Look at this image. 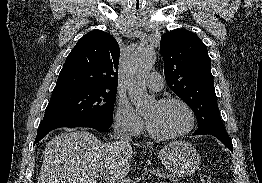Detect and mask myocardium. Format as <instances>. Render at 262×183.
Here are the masks:
<instances>
[{
	"label": "myocardium",
	"instance_id": "f54148a6",
	"mask_svg": "<svg viewBox=\"0 0 262 183\" xmlns=\"http://www.w3.org/2000/svg\"><path fill=\"white\" fill-rule=\"evenodd\" d=\"M157 103L159 105H168L170 103L180 104L181 106H183L187 110L189 117H190V122H189L188 127L186 129H184L183 131H180L178 133L171 134V135H163V134H159V133L155 132L152 129V127L150 126V124L148 123V121L146 120V129H147L148 134L152 138H154L156 140H161V141L174 140V139H178L180 137H183V136L189 134L194 129L195 124H196V115H195L193 108L186 101H184L183 99L178 98V97H164V98L160 99Z\"/></svg>",
	"mask_w": 262,
	"mask_h": 183
}]
</instances>
